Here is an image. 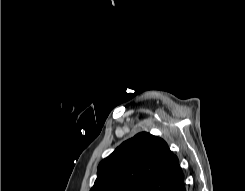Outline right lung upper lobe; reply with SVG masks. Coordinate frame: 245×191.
<instances>
[{
    "label": "right lung upper lobe",
    "mask_w": 245,
    "mask_h": 191,
    "mask_svg": "<svg viewBox=\"0 0 245 191\" xmlns=\"http://www.w3.org/2000/svg\"><path fill=\"white\" fill-rule=\"evenodd\" d=\"M183 180L178 158L167 143L141 132L101 161L90 191H170Z\"/></svg>",
    "instance_id": "right-lung-upper-lobe-1"
}]
</instances>
